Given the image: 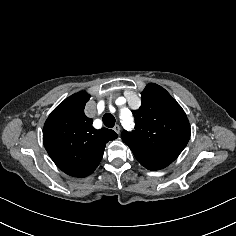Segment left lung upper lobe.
<instances>
[{
  "mask_svg": "<svg viewBox=\"0 0 236 236\" xmlns=\"http://www.w3.org/2000/svg\"><path fill=\"white\" fill-rule=\"evenodd\" d=\"M139 110L133 111L135 130L122 132V140L149 170L171 164L186 147L190 124L182 107L161 86L149 83Z\"/></svg>",
  "mask_w": 236,
  "mask_h": 236,
  "instance_id": "left-lung-upper-lobe-1",
  "label": "left lung upper lobe"
}]
</instances>
